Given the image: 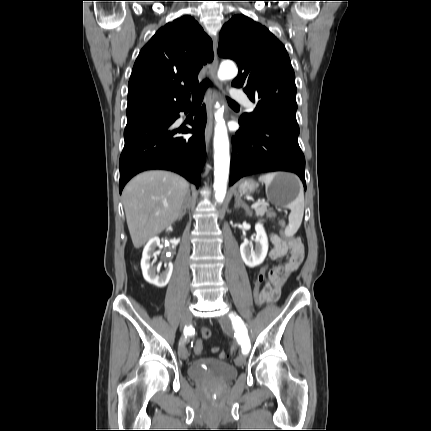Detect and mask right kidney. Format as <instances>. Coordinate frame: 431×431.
I'll return each instance as SVG.
<instances>
[{"label":"right kidney","instance_id":"obj_1","mask_svg":"<svg viewBox=\"0 0 431 431\" xmlns=\"http://www.w3.org/2000/svg\"><path fill=\"white\" fill-rule=\"evenodd\" d=\"M160 246V239L158 237H154L148 241L146 246L144 247L142 259H141V268L144 279L158 288L165 287L172 275L173 264L169 262L165 264V270L159 275V269L154 265L158 252L156 248ZM154 260L151 262V259Z\"/></svg>","mask_w":431,"mask_h":431}]
</instances>
